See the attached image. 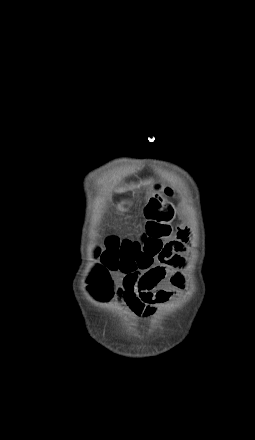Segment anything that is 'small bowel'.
Instances as JSON below:
<instances>
[{
  "label": "small bowel",
  "instance_id": "c3829d8e",
  "mask_svg": "<svg viewBox=\"0 0 255 440\" xmlns=\"http://www.w3.org/2000/svg\"><path fill=\"white\" fill-rule=\"evenodd\" d=\"M189 239V231L180 228L176 238L166 244L165 256L159 260L158 265L126 273L116 289L109 282L106 300L114 298L140 318H148L154 315L157 307L169 304L185 288L181 270L187 263ZM167 277L171 288H159Z\"/></svg>",
  "mask_w": 255,
  "mask_h": 440
}]
</instances>
